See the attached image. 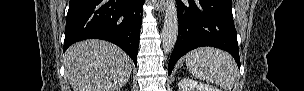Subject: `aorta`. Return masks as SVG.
Returning a JSON list of instances; mask_svg holds the SVG:
<instances>
[{
	"label": "aorta",
	"mask_w": 304,
	"mask_h": 91,
	"mask_svg": "<svg viewBox=\"0 0 304 91\" xmlns=\"http://www.w3.org/2000/svg\"><path fill=\"white\" fill-rule=\"evenodd\" d=\"M178 36V16L175 0L166 1L164 24L162 29V46L165 52H171Z\"/></svg>",
	"instance_id": "aorta-1"
}]
</instances>
